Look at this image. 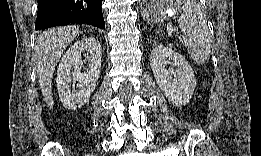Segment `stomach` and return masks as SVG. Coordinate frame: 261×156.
<instances>
[{"label":"stomach","mask_w":261,"mask_h":156,"mask_svg":"<svg viewBox=\"0 0 261 156\" xmlns=\"http://www.w3.org/2000/svg\"><path fill=\"white\" fill-rule=\"evenodd\" d=\"M166 8L161 2H148L144 3L142 7V15L148 22H153L161 19L166 15Z\"/></svg>","instance_id":"obj_1"}]
</instances>
